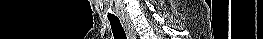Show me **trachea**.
<instances>
[{"mask_svg": "<svg viewBox=\"0 0 263 39\" xmlns=\"http://www.w3.org/2000/svg\"><path fill=\"white\" fill-rule=\"evenodd\" d=\"M114 39H127L126 33L118 18H108Z\"/></svg>", "mask_w": 263, "mask_h": 39, "instance_id": "1", "label": "trachea"}]
</instances>
